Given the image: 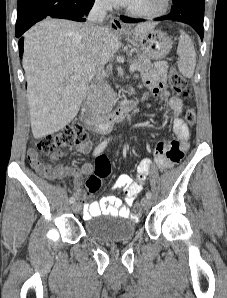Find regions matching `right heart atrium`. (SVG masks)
Here are the masks:
<instances>
[{
  "mask_svg": "<svg viewBox=\"0 0 227 298\" xmlns=\"http://www.w3.org/2000/svg\"><path fill=\"white\" fill-rule=\"evenodd\" d=\"M98 6L106 8L109 5V0H96Z\"/></svg>",
  "mask_w": 227,
  "mask_h": 298,
  "instance_id": "obj_1",
  "label": "right heart atrium"
}]
</instances>
